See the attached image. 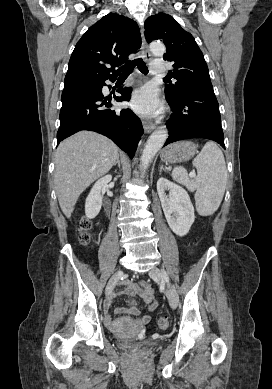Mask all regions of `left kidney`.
Returning a JSON list of instances; mask_svg holds the SVG:
<instances>
[{"instance_id":"left-kidney-1","label":"left kidney","mask_w":272,"mask_h":389,"mask_svg":"<svg viewBox=\"0 0 272 389\" xmlns=\"http://www.w3.org/2000/svg\"><path fill=\"white\" fill-rule=\"evenodd\" d=\"M166 190H169V196ZM157 192L171 230L178 236H185L195 220L194 207L187 191L161 177L157 181Z\"/></svg>"}]
</instances>
